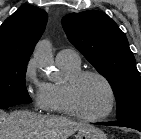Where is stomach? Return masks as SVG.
<instances>
[{"label":"stomach","instance_id":"stomach-1","mask_svg":"<svg viewBox=\"0 0 141 139\" xmlns=\"http://www.w3.org/2000/svg\"><path fill=\"white\" fill-rule=\"evenodd\" d=\"M76 139H107L106 134L96 128L95 126L88 125L78 131L75 136Z\"/></svg>","mask_w":141,"mask_h":139}]
</instances>
